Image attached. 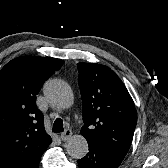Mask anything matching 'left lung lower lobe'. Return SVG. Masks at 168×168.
<instances>
[{"label":"left lung lower lobe","mask_w":168,"mask_h":168,"mask_svg":"<svg viewBox=\"0 0 168 168\" xmlns=\"http://www.w3.org/2000/svg\"><path fill=\"white\" fill-rule=\"evenodd\" d=\"M89 152L78 160L79 168H118L124 157L96 144L89 143Z\"/></svg>","instance_id":"left-lung-lower-lobe-1"}]
</instances>
